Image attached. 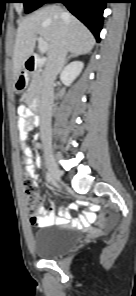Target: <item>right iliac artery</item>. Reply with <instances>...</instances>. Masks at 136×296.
<instances>
[{"instance_id":"1","label":"right iliac artery","mask_w":136,"mask_h":296,"mask_svg":"<svg viewBox=\"0 0 136 296\" xmlns=\"http://www.w3.org/2000/svg\"><path fill=\"white\" fill-rule=\"evenodd\" d=\"M46 179H47V182H48V183H51V182H52V178H51V176H50V173H47V174H46Z\"/></svg>"}]
</instances>
